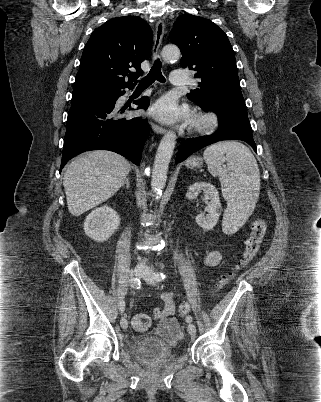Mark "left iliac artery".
<instances>
[{"label": "left iliac artery", "instance_id": "left-iliac-artery-1", "mask_svg": "<svg viewBox=\"0 0 321 402\" xmlns=\"http://www.w3.org/2000/svg\"><path fill=\"white\" fill-rule=\"evenodd\" d=\"M165 277H166V276H165L164 273L158 272V273H155V274H154V279H155L156 281L164 280ZM186 321H187V322H191V321H192V317H191V316H187Z\"/></svg>", "mask_w": 321, "mask_h": 402}]
</instances>
